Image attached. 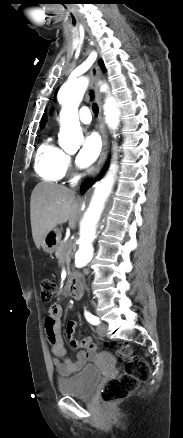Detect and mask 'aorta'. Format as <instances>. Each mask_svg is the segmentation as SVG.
<instances>
[{"mask_svg": "<svg viewBox=\"0 0 183 438\" xmlns=\"http://www.w3.org/2000/svg\"><path fill=\"white\" fill-rule=\"evenodd\" d=\"M88 80L85 77L68 79L59 89L58 101L62 105L60 112L59 144L69 149V144H77L81 132L78 105L86 91ZM106 120L115 128L119 123L120 112L113 98H108L105 105ZM113 171L98 185L94 194L89 197L80 222L79 249L75 254V266L82 268L89 264L94 256L92 241L97 237L108 208L109 194L114 182Z\"/></svg>", "mask_w": 183, "mask_h": 438, "instance_id": "aorta-1", "label": "aorta"}]
</instances>
